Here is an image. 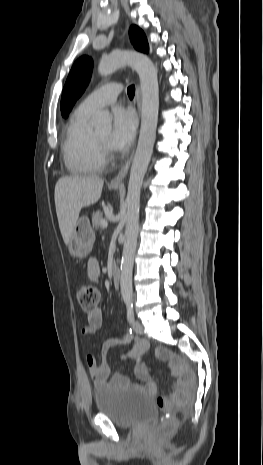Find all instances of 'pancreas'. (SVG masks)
Segmentation results:
<instances>
[{"instance_id":"pancreas-1","label":"pancreas","mask_w":263,"mask_h":465,"mask_svg":"<svg viewBox=\"0 0 263 465\" xmlns=\"http://www.w3.org/2000/svg\"><path fill=\"white\" fill-rule=\"evenodd\" d=\"M103 220L102 213L96 211L92 214V226L94 229L99 230L102 228L101 221Z\"/></svg>"}]
</instances>
